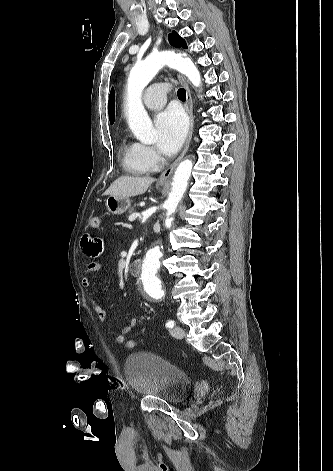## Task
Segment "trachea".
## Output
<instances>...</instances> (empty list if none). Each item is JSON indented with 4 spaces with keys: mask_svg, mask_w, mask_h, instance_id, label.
Masks as SVG:
<instances>
[{
    "mask_svg": "<svg viewBox=\"0 0 333 471\" xmlns=\"http://www.w3.org/2000/svg\"><path fill=\"white\" fill-rule=\"evenodd\" d=\"M177 95H178V98L181 100V101H185L186 100V91L185 89L181 88L178 90L177 92Z\"/></svg>",
    "mask_w": 333,
    "mask_h": 471,
    "instance_id": "trachea-1",
    "label": "trachea"
}]
</instances>
